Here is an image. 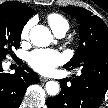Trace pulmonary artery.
<instances>
[{"instance_id":"pulmonary-artery-1","label":"pulmonary artery","mask_w":108,"mask_h":108,"mask_svg":"<svg viewBox=\"0 0 108 108\" xmlns=\"http://www.w3.org/2000/svg\"><path fill=\"white\" fill-rule=\"evenodd\" d=\"M66 32H67V30L62 29V30H59V31L55 32V35H56L58 38H62V37L65 36Z\"/></svg>"}]
</instances>
